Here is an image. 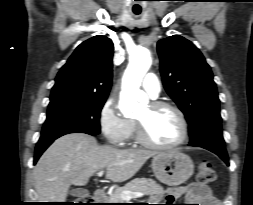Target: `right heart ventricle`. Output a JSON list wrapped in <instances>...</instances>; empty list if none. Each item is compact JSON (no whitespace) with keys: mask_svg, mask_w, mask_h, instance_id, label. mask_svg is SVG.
Returning a JSON list of instances; mask_svg holds the SVG:
<instances>
[{"mask_svg":"<svg viewBox=\"0 0 253 205\" xmlns=\"http://www.w3.org/2000/svg\"><path fill=\"white\" fill-rule=\"evenodd\" d=\"M134 131H135V124L132 122V129H131L130 136L134 133Z\"/></svg>","mask_w":253,"mask_h":205,"instance_id":"obj_1","label":"right heart ventricle"}]
</instances>
